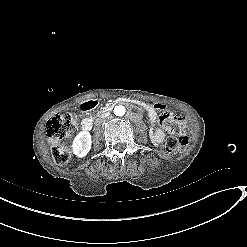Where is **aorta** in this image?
Here are the masks:
<instances>
[{
	"label": "aorta",
	"mask_w": 247,
	"mask_h": 247,
	"mask_svg": "<svg viewBox=\"0 0 247 247\" xmlns=\"http://www.w3.org/2000/svg\"><path fill=\"white\" fill-rule=\"evenodd\" d=\"M125 112H126V109L122 105L115 106V108H114V114L116 116H123L125 114Z\"/></svg>",
	"instance_id": "1"
}]
</instances>
